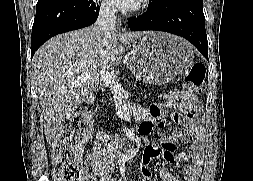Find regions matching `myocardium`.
<instances>
[{
	"instance_id": "f54148a6",
	"label": "myocardium",
	"mask_w": 253,
	"mask_h": 181,
	"mask_svg": "<svg viewBox=\"0 0 253 181\" xmlns=\"http://www.w3.org/2000/svg\"><path fill=\"white\" fill-rule=\"evenodd\" d=\"M148 4H149V0H141L139 6L134 9V12L137 14H141V13L145 12V10L148 7Z\"/></svg>"
}]
</instances>
